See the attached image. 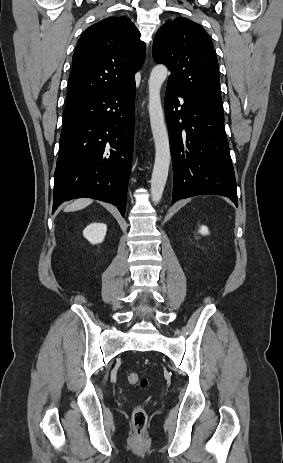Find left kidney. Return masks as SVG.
<instances>
[{
  "label": "left kidney",
  "instance_id": "5707ae66",
  "mask_svg": "<svg viewBox=\"0 0 283 463\" xmlns=\"http://www.w3.org/2000/svg\"><path fill=\"white\" fill-rule=\"evenodd\" d=\"M199 233L202 234V235H208L209 234V230L206 226H201L200 230H199Z\"/></svg>",
  "mask_w": 283,
  "mask_h": 463
}]
</instances>
